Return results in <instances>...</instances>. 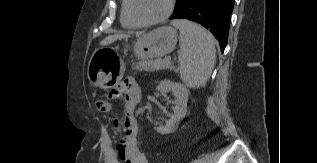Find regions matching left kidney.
I'll return each instance as SVG.
<instances>
[{
  "mask_svg": "<svg viewBox=\"0 0 317 163\" xmlns=\"http://www.w3.org/2000/svg\"><path fill=\"white\" fill-rule=\"evenodd\" d=\"M156 90L162 94L172 92L176 97L173 102V114L170 115L166 125L154 128L160 134H169L177 129L180 121L186 115L189 91L183 84L170 80H162L156 87Z\"/></svg>",
  "mask_w": 317,
  "mask_h": 163,
  "instance_id": "1",
  "label": "left kidney"
}]
</instances>
